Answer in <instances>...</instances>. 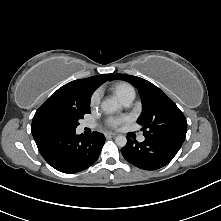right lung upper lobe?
<instances>
[{"instance_id": "1", "label": "right lung upper lobe", "mask_w": 221, "mask_h": 221, "mask_svg": "<svg viewBox=\"0 0 221 221\" xmlns=\"http://www.w3.org/2000/svg\"><path fill=\"white\" fill-rule=\"evenodd\" d=\"M112 74L93 76L69 82L54 92L36 111L35 115L48 107L87 109L90 108L92 93L104 82L112 79ZM34 115V116H35ZM34 139L41 138L33 135Z\"/></svg>"}]
</instances>
